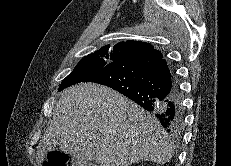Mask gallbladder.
<instances>
[{"label":"gallbladder","mask_w":231,"mask_h":166,"mask_svg":"<svg viewBox=\"0 0 231 166\" xmlns=\"http://www.w3.org/2000/svg\"><path fill=\"white\" fill-rule=\"evenodd\" d=\"M73 166H90V165H88V163L80 162L77 159H73Z\"/></svg>","instance_id":"obj_1"}]
</instances>
